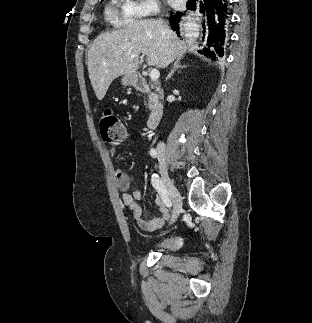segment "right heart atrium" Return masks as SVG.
Returning a JSON list of instances; mask_svg holds the SVG:
<instances>
[{"mask_svg": "<svg viewBox=\"0 0 312 323\" xmlns=\"http://www.w3.org/2000/svg\"><path fill=\"white\" fill-rule=\"evenodd\" d=\"M163 3L157 0H127L123 2L121 17H130L131 22H142L143 17H155L162 13Z\"/></svg>", "mask_w": 312, "mask_h": 323, "instance_id": "d8ad5b80", "label": "right heart atrium"}]
</instances>
